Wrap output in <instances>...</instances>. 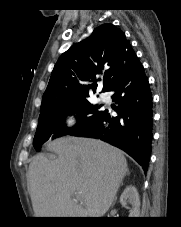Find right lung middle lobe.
Segmentation results:
<instances>
[{
	"instance_id": "dd1d6c3e",
	"label": "right lung middle lobe",
	"mask_w": 181,
	"mask_h": 227,
	"mask_svg": "<svg viewBox=\"0 0 181 227\" xmlns=\"http://www.w3.org/2000/svg\"><path fill=\"white\" fill-rule=\"evenodd\" d=\"M88 97L60 103L40 110L38 127L33 140V146L40 151L41 145L49 138H57L64 135H74L79 131L96 123L103 111L100 106H93ZM77 113L78 124L73 129L64 126V118L68 114Z\"/></svg>"
}]
</instances>
